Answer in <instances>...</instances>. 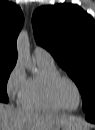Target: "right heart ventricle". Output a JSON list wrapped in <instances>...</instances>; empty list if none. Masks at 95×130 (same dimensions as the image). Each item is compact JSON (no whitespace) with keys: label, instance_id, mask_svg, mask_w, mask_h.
<instances>
[{"label":"right heart ventricle","instance_id":"right-heart-ventricle-1","mask_svg":"<svg viewBox=\"0 0 95 130\" xmlns=\"http://www.w3.org/2000/svg\"><path fill=\"white\" fill-rule=\"evenodd\" d=\"M40 74L27 79L25 90L20 99L23 107L29 109H42L48 111H61L62 109L52 102L48 95L49 80L60 74L54 62L37 61Z\"/></svg>","mask_w":95,"mask_h":130}]
</instances>
